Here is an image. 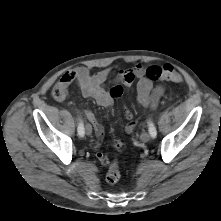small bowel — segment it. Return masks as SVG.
<instances>
[{"mask_svg": "<svg viewBox=\"0 0 221 221\" xmlns=\"http://www.w3.org/2000/svg\"><path fill=\"white\" fill-rule=\"evenodd\" d=\"M110 73L111 68H104L96 73H91L88 67L77 66L73 70L63 74L59 83L67 90L68 87L76 81L82 95L86 98L93 99L102 107L112 106L119 99L112 93V88L121 86L120 84L130 86L136 81L137 102L141 106L148 108H155L160 97L164 93L163 86H154L153 83L147 79L146 69L141 63H138L130 70L119 72L114 81V86L108 90L105 88L104 84L109 78ZM84 115L95 129V156L103 166H108L110 164V159L100 150L104 136L103 127L92 110L87 108L84 109ZM125 116L130 120L125 131L130 133L134 128V122L132 121L133 115L130 111H126ZM118 148L123 149L124 145L120 142Z\"/></svg>", "mask_w": 221, "mask_h": 221, "instance_id": "1", "label": "small bowel"}]
</instances>
